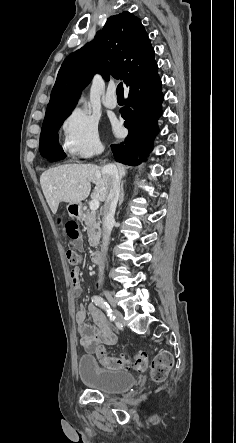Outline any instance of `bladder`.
Listing matches in <instances>:
<instances>
[{
	"instance_id": "obj_1",
	"label": "bladder",
	"mask_w": 236,
	"mask_h": 443,
	"mask_svg": "<svg viewBox=\"0 0 236 443\" xmlns=\"http://www.w3.org/2000/svg\"><path fill=\"white\" fill-rule=\"evenodd\" d=\"M80 380L90 389L110 394H119L135 385L133 374L98 365L91 355H82L77 362Z\"/></svg>"
}]
</instances>
